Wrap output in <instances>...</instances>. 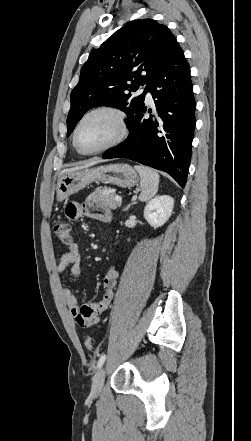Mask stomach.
I'll return each instance as SVG.
<instances>
[{"label": "stomach", "instance_id": "1", "mask_svg": "<svg viewBox=\"0 0 251 441\" xmlns=\"http://www.w3.org/2000/svg\"><path fill=\"white\" fill-rule=\"evenodd\" d=\"M92 182L110 183L122 188H130L138 184L139 177L135 169L128 164H110L65 172L61 174L57 182V201L65 200Z\"/></svg>", "mask_w": 251, "mask_h": 441}]
</instances>
